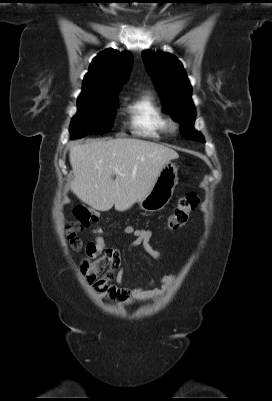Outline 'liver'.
<instances>
[{
	"label": "liver",
	"mask_w": 272,
	"mask_h": 401,
	"mask_svg": "<svg viewBox=\"0 0 272 401\" xmlns=\"http://www.w3.org/2000/svg\"><path fill=\"white\" fill-rule=\"evenodd\" d=\"M178 157L175 150L150 141L93 139L70 149L71 190L96 210L108 211L115 206L123 212L144 198L163 166Z\"/></svg>",
	"instance_id": "6515ba94"
}]
</instances>
